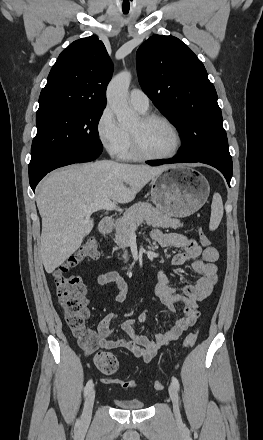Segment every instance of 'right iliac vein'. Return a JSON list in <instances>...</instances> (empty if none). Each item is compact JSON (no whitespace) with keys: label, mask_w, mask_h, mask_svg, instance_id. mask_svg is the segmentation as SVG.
<instances>
[{"label":"right iliac vein","mask_w":263,"mask_h":440,"mask_svg":"<svg viewBox=\"0 0 263 440\" xmlns=\"http://www.w3.org/2000/svg\"><path fill=\"white\" fill-rule=\"evenodd\" d=\"M94 400H95V390L92 389L86 397L82 416H81V426L84 428L88 427L90 424Z\"/></svg>","instance_id":"obj_1"}]
</instances>
